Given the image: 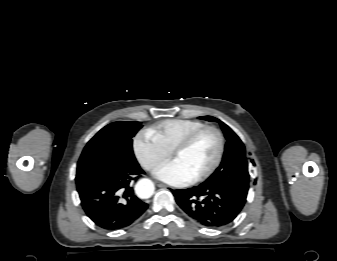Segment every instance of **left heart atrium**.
<instances>
[{"label": "left heart atrium", "mask_w": 337, "mask_h": 261, "mask_svg": "<svg viewBox=\"0 0 337 261\" xmlns=\"http://www.w3.org/2000/svg\"><path fill=\"white\" fill-rule=\"evenodd\" d=\"M154 174L161 181L173 186H185L193 180V177L176 160L160 166Z\"/></svg>", "instance_id": "left-heart-atrium-1"}]
</instances>
